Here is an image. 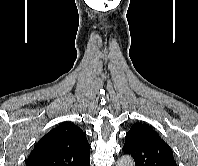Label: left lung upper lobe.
Returning a JSON list of instances; mask_svg holds the SVG:
<instances>
[{"mask_svg": "<svg viewBox=\"0 0 198 166\" xmlns=\"http://www.w3.org/2000/svg\"><path fill=\"white\" fill-rule=\"evenodd\" d=\"M125 138L123 151L135 166H177L170 146L146 124L134 123Z\"/></svg>", "mask_w": 198, "mask_h": 166, "instance_id": "1", "label": "left lung upper lobe"}]
</instances>
